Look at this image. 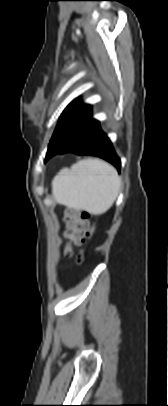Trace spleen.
<instances>
[{
    "label": "spleen",
    "instance_id": "3e777b00",
    "mask_svg": "<svg viewBox=\"0 0 168 406\" xmlns=\"http://www.w3.org/2000/svg\"><path fill=\"white\" fill-rule=\"evenodd\" d=\"M120 187L121 178L112 165L100 159H85L57 173L52 194L59 204L101 215L113 205Z\"/></svg>",
    "mask_w": 168,
    "mask_h": 406
}]
</instances>
